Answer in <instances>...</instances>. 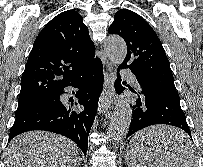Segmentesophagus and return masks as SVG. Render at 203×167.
Masks as SVG:
<instances>
[{"label": "esophagus", "mask_w": 203, "mask_h": 167, "mask_svg": "<svg viewBox=\"0 0 203 167\" xmlns=\"http://www.w3.org/2000/svg\"><path fill=\"white\" fill-rule=\"evenodd\" d=\"M114 83L115 73L112 65L109 63L108 68L104 72V89L98 103L99 113H106L112 108L115 99Z\"/></svg>", "instance_id": "1"}]
</instances>
